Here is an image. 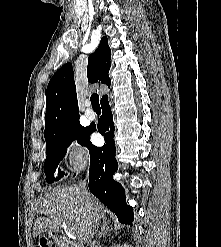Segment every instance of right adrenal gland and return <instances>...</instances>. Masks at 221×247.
I'll list each match as a JSON object with an SVG mask.
<instances>
[{"mask_svg": "<svg viewBox=\"0 0 221 247\" xmlns=\"http://www.w3.org/2000/svg\"><path fill=\"white\" fill-rule=\"evenodd\" d=\"M112 228L108 226L107 221H103V226L101 228V231L98 234V238H102L103 236H106L108 232H111Z\"/></svg>", "mask_w": 221, "mask_h": 247, "instance_id": "obj_1", "label": "right adrenal gland"}]
</instances>
